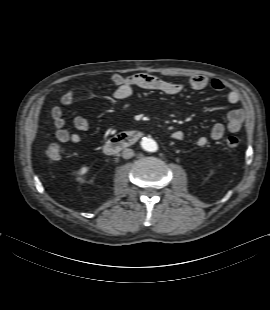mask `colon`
Here are the masks:
<instances>
[{"instance_id":"obj_1","label":"colon","mask_w":270,"mask_h":310,"mask_svg":"<svg viewBox=\"0 0 270 310\" xmlns=\"http://www.w3.org/2000/svg\"><path fill=\"white\" fill-rule=\"evenodd\" d=\"M240 140L236 136H229L226 139V146L230 150H235L239 147ZM64 147L58 143H51L46 148V155L51 161H59L64 154Z\"/></svg>"}]
</instances>
